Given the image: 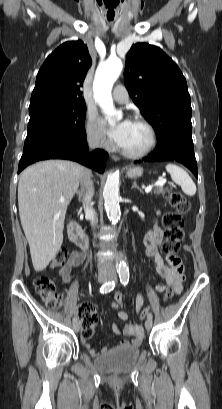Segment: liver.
Listing matches in <instances>:
<instances>
[{
    "label": "liver",
    "mask_w": 222,
    "mask_h": 409,
    "mask_svg": "<svg viewBox=\"0 0 222 409\" xmlns=\"http://www.w3.org/2000/svg\"><path fill=\"white\" fill-rule=\"evenodd\" d=\"M84 170L72 161L45 160L20 174L19 216L36 272L43 271L61 248L66 210Z\"/></svg>",
    "instance_id": "obj_1"
}]
</instances>
